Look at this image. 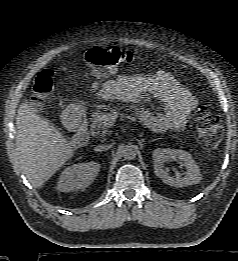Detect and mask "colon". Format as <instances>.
Instances as JSON below:
<instances>
[{"label": "colon", "instance_id": "1", "mask_svg": "<svg viewBox=\"0 0 238 261\" xmlns=\"http://www.w3.org/2000/svg\"><path fill=\"white\" fill-rule=\"evenodd\" d=\"M136 56L118 47H92L84 54V62L99 76H106L124 65L131 64ZM55 74L51 69H43L33 83V100L36 104L48 97L54 90ZM197 130L202 143L209 148L218 145L222 136L220 117L207 107L197 112Z\"/></svg>", "mask_w": 238, "mask_h": 261}]
</instances>
